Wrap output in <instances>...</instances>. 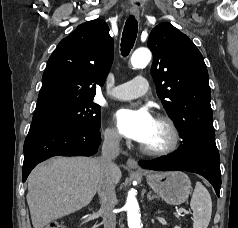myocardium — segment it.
<instances>
[{
	"mask_svg": "<svg viewBox=\"0 0 238 228\" xmlns=\"http://www.w3.org/2000/svg\"><path fill=\"white\" fill-rule=\"evenodd\" d=\"M155 120L157 122L162 123L167 128L169 132L168 143L160 148H149L140 144L139 148L143 154L148 156L153 157L165 156L174 152L177 149L180 141L179 131L174 121L166 115L159 114L156 116Z\"/></svg>",
	"mask_w": 238,
	"mask_h": 228,
	"instance_id": "f54148a6",
	"label": "myocardium"
}]
</instances>
